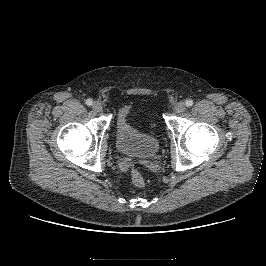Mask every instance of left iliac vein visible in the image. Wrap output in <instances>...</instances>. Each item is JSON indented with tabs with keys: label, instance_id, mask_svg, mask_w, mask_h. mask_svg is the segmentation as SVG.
Masks as SVG:
<instances>
[{
	"label": "left iliac vein",
	"instance_id": "obj_1",
	"mask_svg": "<svg viewBox=\"0 0 266 266\" xmlns=\"http://www.w3.org/2000/svg\"><path fill=\"white\" fill-rule=\"evenodd\" d=\"M186 109V104L184 102H178L175 107H174V111L176 113H182L184 112Z\"/></svg>",
	"mask_w": 266,
	"mask_h": 266
}]
</instances>
